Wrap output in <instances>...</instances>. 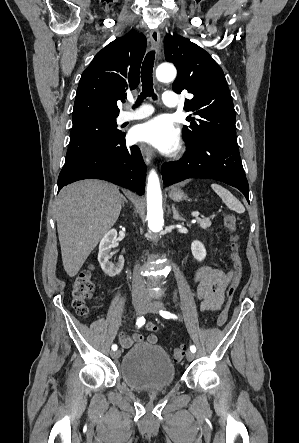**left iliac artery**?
Returning a JSON list of instances; mask_svg holds the SVG:
<instances>
[{
	"mask_svg": "<svg viewBox=\"0 0 299 443\" xmlns=\"http://www.w3.org/2000/svg\"><path fill=\"white\" fill-rule=\"evenodd\" d=\"M160 315H161L162 317L166 318V319H170V318H172V319H177V316H176L175 314H172V313H170V312H168V311L160 310ZM190 350H191L193 353H195V352H196V347H195L194 345H191V346H190Z\"/></svg>",
	"mask_w": 299,
	"mask_h": 443,
	"instance_id": "obj_1",
	"label": "left iliac artery"
}]
</instances>
